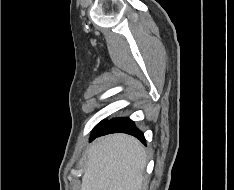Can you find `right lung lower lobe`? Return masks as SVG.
<instances>
[{
    "label": "right lung lower lobe",
    "instance_id": "obj_1",
    "mask_svg": "<svg viewBox=\"0 0 234 190\" xmlns=\"http://www.w3.org/2000/svg\"><path fill=\"white\" fill-rule=\"evenodd\" d=\"M110 133H127L135 136L144 144L146 143L143 133L137 129L134 122L127 117L112 119L107 121L101 128L93 130L90 141L98 136Z\"/></svg>",
    "mask_w": 234,
    "mask_h": 190
}]
</instances>
